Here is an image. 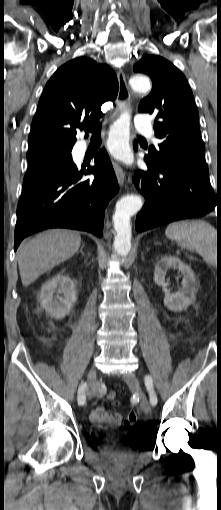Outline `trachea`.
<instances>
[{"mask_svg": "<svg viewBox=\"0 0 221 510\" xmlns=\"http://www.w3.org/2000/svg\"><path fill=\"white\" fill-rule=\"evenodd\" d=\"M86 131L92 132V139L100 140L101 124H98L91 128H86Z\"/></svg>", "mask_w": 221, "mask_h": 510, "instance_id": "3493384b", "label": "trachea"}]
</instances>
